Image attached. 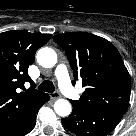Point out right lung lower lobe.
<instances>
[{
	"instance_id": "98d812e1",
	"label": "right lung lower lobe",
	"mask_w": 136,
	"mask_h": 136,
	"mask_svg": "<svg viewBox=\"0 0 136 136\" xmlns=\"http://www.w3.org/2000/svg\"><path fill=\"white\" fill-rule=\"evenodd\" d=\"M48 100H49V95L46 94L37 102L33 111L30 114V117L28 118V120L26 121V123L22 127L15 129L13 131H10L6 134H3L2 136H24V135L28 134L35 126L36 114H37L38 109L43 104H45Z\"/></svg>"
}]
</instances>
